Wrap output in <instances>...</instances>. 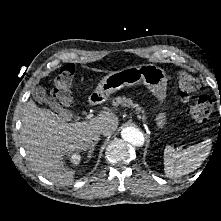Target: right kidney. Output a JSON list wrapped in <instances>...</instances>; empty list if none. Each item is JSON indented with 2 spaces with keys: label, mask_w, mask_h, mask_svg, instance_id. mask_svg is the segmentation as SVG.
Returning <instances> with one entry per match:
<instances>
[{
  "label": "right kidney",
  "mask_w": 221,
  "mask_h": 221,
  "mask_svg": "<svg viewBox=\"0 0 221 221\" xmlns=\"http://www.w3.org/2000/svg\"><path fill=\"white\" fill-rule=\"evenodd\" d=\"M80 159H81V156L78 155V154H72L71 155V162L75 165L79 164L80 162Z\"/></svg>",
  "instance_id": "ca27d5eb"
}]
</instances>
